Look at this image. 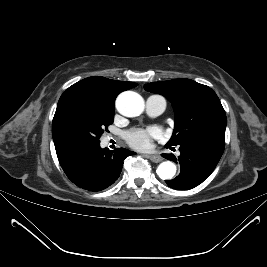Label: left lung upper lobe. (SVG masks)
<instances>
[{
    "label": "left lung upper lobe",
    "instance_id": "1",
    "mask_svg": "<svg viewBox=\"0 0 267 267\" xmlns=\"http://www.w3.org/2000/svg\"><path fill=\"white\" fill-rule=\"evenodd\" d=\"M145 90L165 96L175 111V127L166 147L197 140L224 142L226 115L215 92L190 79L146 84Z\"/></svg>",
    "mask_w": 267,
    "mask_h": 267
}]
</instances>
